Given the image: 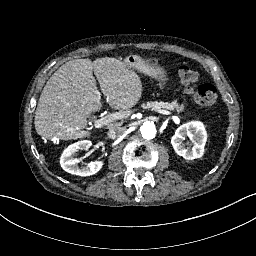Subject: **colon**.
<instances>
[{
	"label": "colon",
	"mask_w": 256,
	"mask_h": 256,
	"mask_svg": "<svg viewBox=\"0 0 256 256\" xmlns=\"http://www.w3.org/2000/svg\"><path fill=\"white\" fill-rule=\"evenodd\" d=\"M179 78L184 90L190 93L200 106L211 107L216 103L218 96L215 87L211 84L196 86L199 73L193 67L180 66Z\"/></svg>",
	"instance_id": "colon-1"
}]
</instances>
